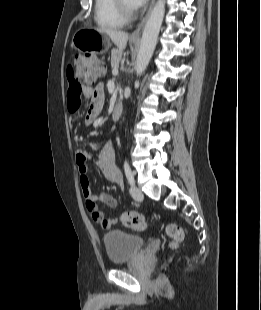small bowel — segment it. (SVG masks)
Instances as JSON below:
<instances>
[{
  "label": "small bowel",
  "instance_id": "c3829d8e",
  "mask_svg": "<svg viewBox=\"0 0 261 310\" xmlns=\"http://www.w3.org/2000/svg\"><path fill=\"white\" fill-rule=\"evenodd\" d=\"M80 96L90 100L85 115V122L88 126L94 125L97 122L103 106V88L101 85L95 87L89 85L80 86L71 80L68 99L69 109L72 112L78 108ZM91 158L92 154L86 149H79L76 151L75 162L79 173V182L85 199V205L94 221L100 223L102 227L110 229L118 222V218L107 217L99 209L98 203L101 201L111 207H115L117 205V200L112 195L105 192L100 194H94L92 192L87 166V161ZM95 165L109 182L115 185L118 189H123V177L115 164V151L109 140H104L102 142L97 157L95 158Z\"/></svg>",
  "mask_w": 261,
  "mask_h": 310
}]
</instances>
